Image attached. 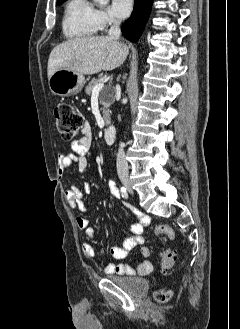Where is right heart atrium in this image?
Masks as SVG:
<instances>
[{
    "instance_id": "1",
    "label": "right heart atrium",
    "mask_w": 240,
    "mask_h": 329,
    "mask_svg": "<svg viewBox=\"0 0 240 329\" xmlns=\"http://www.w3.org/2000/svg\"><path fill=\"white\" fill-rule=\"evenodd\" d=\"M95 22L98 30L103 31L107 27L118 22L116 17L107 8H96L94 12Z\"/></svg>"
}]
</instances>
